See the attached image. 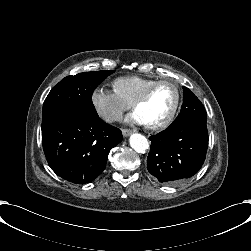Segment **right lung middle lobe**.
Masks as SVG:
<instances>
[{"mask_svg":"<svg viewBox=\"0 0 251 251\" xmlns=\"http://www.w3.org/2000/svg\"><path fill=\"white\" fill-rule=\"evenodd\" d=\"M114 71H94L67 76L55 85L43 104L42 123L68 108L97 115L92 103L95 88Z\"/></svg>","mask_w":251,"mask_h":251,"instance_id":"right-lung-middle-lobe-1","label":"right lung middle lobe"}]
</instances>
